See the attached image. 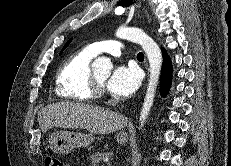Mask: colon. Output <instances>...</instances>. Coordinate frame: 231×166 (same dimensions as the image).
Listing matches in <instances>:
<instances>
[{"instance_id":"colon-1","label":"colon","mask_w":231,"mask_h":166,"mask_svg":"<svg viewBox=\"0 0 231 166\" xmlns=\"http://www.w3.org/2000/svg\"><path fill=\"white\" fill-rule=\"evenodd\" d=\"M45 164L46 166H69L68 163L55 156H48L45 160Z\"/></svg>"}]
</instances>
